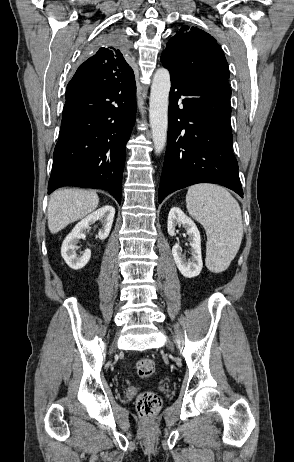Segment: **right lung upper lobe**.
Instances as JSON below:
<instances>
[{
  "label": "right lung upper lobe",
  "mask_w": 294,
  "mask_h": 462,
  "mask_svg": "<svg viewBox=\"0 0 294 462\" xmlns=\"http://www.w3.org/2000/svg\"><path fill=\"white\" fill-rule=\"evenodd\" d=\"M134 76L120 50L101 47L82 63L67 85L71 94H89L125 83Z\"/></svg>",
  "instance_id": "1"
}]
</instances>
